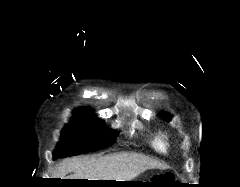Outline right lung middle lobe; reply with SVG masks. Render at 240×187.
Returning a JSON list of instances; mask_svg holds the SVG:
<instances>
[{
  "label": "right lung middle lobe",
  "mask_w": 240,
  "mask_h": 187,
  "mask_svg": "<svg viewBox=\"0 0 240 187\" xmlns=\"http://www.w3.org/2000/svg\"><path fill=\"white\" fill-rule=\"evenodd\" d=\"M115 140L116 135L93 113L75 112V118L61 131L54 159L100 150Z\"/></svg>",
  "instance_id": "1"
}]
</instances>
